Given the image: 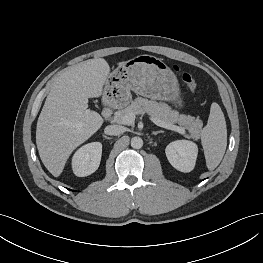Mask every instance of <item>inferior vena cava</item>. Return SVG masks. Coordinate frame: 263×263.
<instances>
[{
  "label": "inferior vena cava",
  "instance_id": "obj_1",
  "mask_svg": "<svg viewBox=\"0 0 263 263\" xmlns=\"http://www.w3.org/2000/svg\"><path fill=\"white\" fill-rule=\"evenodd\" d=\"M104 132L108 135H119L125 132V128L119 125H109L106 126Z\"/></svg>",
  "mask_w": 263,
  "mask_h": 263
}]
</instances>
